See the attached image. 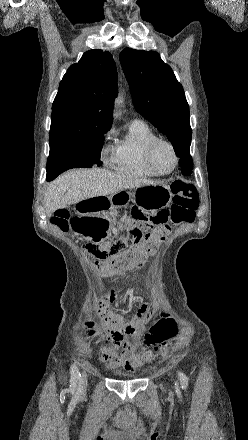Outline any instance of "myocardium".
I'll use <instances>...</instances> for the list:
<instances>
[{
  "label": "myocardium",
  "mask_w": 248,
  "mask_h": 440,
  "mask_svg": "<svg viewBox=\"0 0 248 440\" xmlns=\"http://www.w3.org/2000/svg\"><path fill=\"white\" fill-rule=\"evenodd\" d=\"M160 145L167 146L171 150L173 157H174V164H173L172 168L168 171L159 170L154 163V153H155L156 148ZM144 161H145V164L148 167V169L151 172H153L155 175L165 176V175H169V174L173 173L174 170L177 168L178 163H179V155L177 153L175 146L170 141L164 140L161 138H156V139L152 140L147 145L145 152H144Z\"/></svg>",
  "instance_id": "f54148a6"
}]
</instances>
